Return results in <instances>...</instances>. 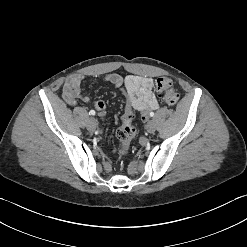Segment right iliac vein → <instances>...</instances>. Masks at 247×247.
<instances>
[{"label": "right iliac vein", "instance_id": "1", "mask_svg": "<svg viewBox=\"0 0 247 247\" xmlns=\"http://www.w3.org/2000/svg\"><path fill=\"white\" fill-rule=\"evenodd\" d=\"M96 125L97 124H96L95 118L93 117L89 118L88 123H87L88 129L93 132L96 129Z\"/></svg>", "mask_w": 247, "mask_h": 247}]
</instances>
